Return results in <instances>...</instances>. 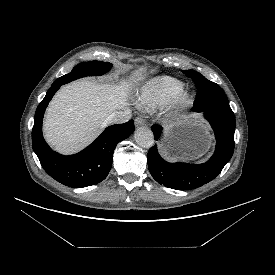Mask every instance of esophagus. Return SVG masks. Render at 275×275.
<instances>
[{
	"instance_id": "esophagus-1",
	"label": "esophagus",
	"mask_w": 275,
	"mask_h": 275,
	"mask_svg": "<svg viewBox=\"0 0 275 275\" xmlns=\"http://www.w3.org/2000/svg\"><path fill=\"white\" fill-rule=\"evenodd\" d=\"M135 125L136 127L145 125V120L143 119V117H137L135 119Z\"/></svg>"
}]
</instances>
